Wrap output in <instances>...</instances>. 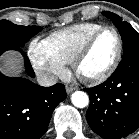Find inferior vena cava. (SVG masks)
I'll return each instance as SVG.
<instances>
[{
	"label": "inferior vena cava",
	"mask_w": 139,
	"mask_h": 139,
	"mask_svg": "<svg viewBox=\"0 0 139 139\" xmlns=\"http://www.w3.org/2000/svg\"><path fill=\"white\" fill-rule=\"evenodd\" d=\"M58 78L49 73H39L37 75V82L39 85L49 87L57 83Z\"/></svg>",
	"instance_id": "1"
}]
</instances>
